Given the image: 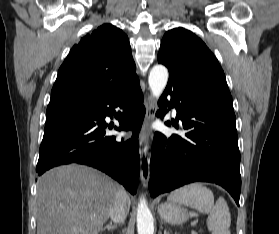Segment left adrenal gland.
<instances>
[{"instance_id":"left-adrenal-gland-1","label":"left adrenal gland","mask_w":279,"mask_h":234,"mask_svg":"<svg viewBox=\"0 0 279 234\" xmlns=\"http://www.w3.org/2000/svg\"><path fill=\"white\" fill-rule=\"evenodd\" d=\"M164 234H169V232L167 230H164Z\"/></svg>"}]
</instances>
